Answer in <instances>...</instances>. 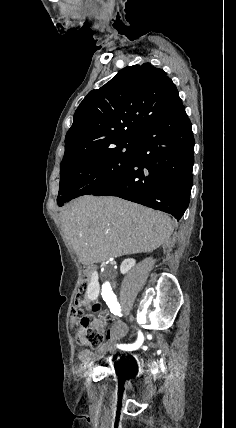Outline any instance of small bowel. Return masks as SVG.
<instances>
[{"instance_id": "obj_1", "label": "small bowel", "mask_w": 236, "mask_h": 428, "mask_svg": "<svg viewBox=\"0 0 236 428\" xmlns=\"http://www.w3.org/2000/svg\"><path fill=\"white\" fill-rule=\"evenodd\" d=\"M127 334V326L123 323H117L113 325L105 334L107 341H116L120 340ZM79 358L81 360L82 366L87 367L91 365L96 360L102 358L101 352H91L88 350H83L79 353Z\"/></svg>"}]
</instances>
